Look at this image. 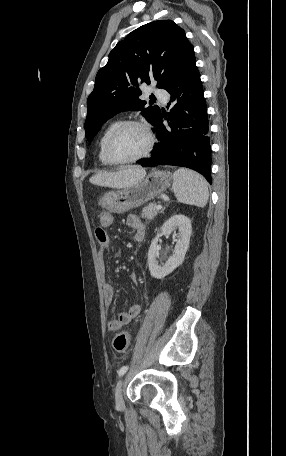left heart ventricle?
Here are the masks:
<instances>
[{
    "instance_id": "b2bd125f",
    "label": "left heart ventricle",
    "mask_w": 286,
    "mask_h": 456,
    "mask_svg": "<svg viewBox=\"0 0 286 456\" xmlns=\"http://www.w3.org/2000/svg\"><path fill=\"white\" fill-rule=\"evenodd\" d=\"M148 138L145 131L131 126L120 132L113 141L111 152L118 160H128L141 155L147 148Z\"/></svg>"
}]
</instances>
